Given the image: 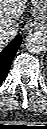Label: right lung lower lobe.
I'll use <instances>...</instances> for the list:
<instances>
[{"label":"right lung lower lobe","instance_id":"obj_1","mask_svg":"<svg viewBox=\"0 0 47 129\" xmlns=\"http://www.w3.org/2000/svg\"><path fill=\"white\" fill-rule=\"evenodd\" d=\"M22 41L21 35H18L2 52H0V84L6 78L11 66V62L15 57Z\"/></svg>","mask_w":47,"mask_h":129}]
</instances>
